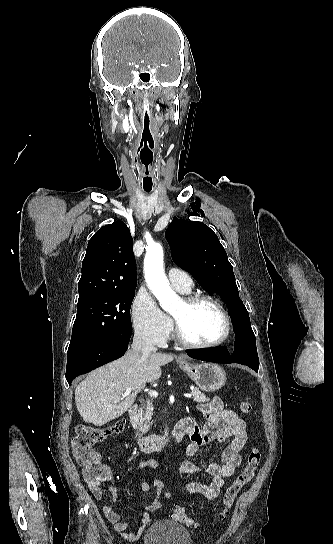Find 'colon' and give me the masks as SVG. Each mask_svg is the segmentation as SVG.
Returning <instances> with one entry per match:
<instances>
[{"label":"colon","mask_w":333,"mask_h":544,"mask_svg":"<svg viewBox=\"0 0 333 544\" xmlns=\"http://www.w3.org/2000/svg\"><path fill=\"white\" fill-rule=\"evenodd\" d=\"M243 413H250L252 405L248 401L239 404ZM125 428V421L118 419L104 427L79 426L72 438L71 446L76 462L83 468V477L91 488L100 487L106 479V467L101 463L99 454L94 446L115 434H120ZM262 454L257 448H253L247 455L245 465L235 480L228 486L223 497V510L220 513L222 519L226 518L237 495L242 488L251 481L261 462ZM170 516L189 527L198 528L194 518L181 507H174Z\"/></svg>","instance_id":"5ec220e1"}]
</instances>
